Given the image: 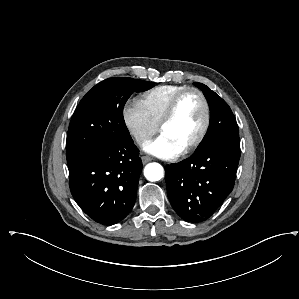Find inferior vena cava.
Wrapping results in <instances>:
<instances>
[{
	"label": "inferior vena cava",
	"mask_w": 299,
	"mask_h": 299,
	"mask_svg": "<svg viewBox=\"0 0 299 299\" xmlns=\"http://www.w3.org/2000/svg\"><path fill=\"white\" fill-rule=\"evenodd\" d=\"M145 139V137H140L138 138V141H143Z\"/></svg>",
	"instance_id": "inferior-vena-cava-1"
}]
</instances>
